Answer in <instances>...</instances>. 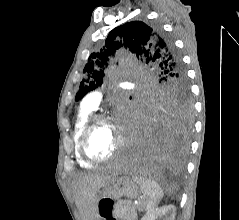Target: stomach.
<instances>
[{
  "label": "stomach",
  "instance_id": "1",
  "mask_svg": "<svg viewBox=\"0 0 239 220\" xmlns=\"http://www.w3.org/2000/svg\"><path fill=\"white\" fill-rule=\"evenodd\" d=\"M141 194L139 185L130 178H112L100 191L97 201L98 217L101 220H118L113 200L121 197L137 198Z\"/></svg>",
  "mask_w": 239,
  "mask_h": 220
}]
</instances>
